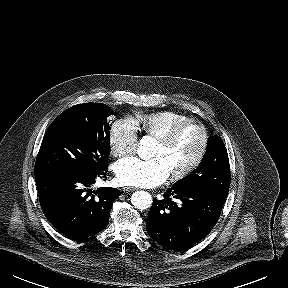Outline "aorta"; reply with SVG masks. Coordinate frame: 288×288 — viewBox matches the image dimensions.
I'll use <instances>...</instances> for the list:
<instances>
[{"label":"aorta","mask_w":288,"mask_h":288,"mask_svg":"<svg viewBox=\"0 0 288 288\" xmlns=\"http://www.w3.org/2000/svg\"><path fill=\"white\" fill-rule=\"evenodd\" d=\"M155 141L150 136H144L138 145V155L141 159L147 160L154 156ZM152 197L146 191H136L131 196L132 205L140 210H145L151 207Z\"/></svg>","instance_id":"762f6f07"}]
</instances>
